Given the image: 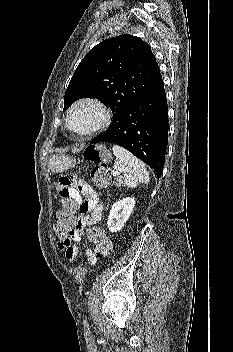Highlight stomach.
<instances>
[{"instance_id":"obj_1","label":"stomach","mask_w":233,"mask_h":352,"mask_svg":"<svg viewBox=\"0 0 233 352\" xmlns=\"http://www.w3.org/2000/svg\"><path fill=\"white\" fill-rule=\"evenodd\" d=\"M73 160L65 155H52L49 159V167L54 172H63L71 167Z\"/></svg>"}]
</instances>
